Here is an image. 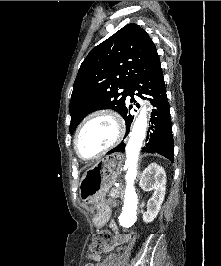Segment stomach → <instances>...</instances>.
I'll list each match as a JSON object with an SVG mask.
<instances>
[{
	"mask_svg": "<svg viewBox=\"0 0 221 266\" xmlns=\"http://www.w3.org/2000/svg\"><path fill=\"white\" fill-rule=\"evenodd\" d=\"M121 159L120 154L107 155L87 169L81 178L79 195L85 204L97 209L95 224L106 218L107 207L102 202L116 180Z\"/></svg>",
	"mask_w": 221,
	"mask_h": 266,
	"instance_id": "1",
	"label": "stomach"
}]
</instances>
